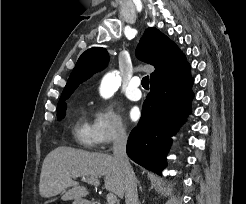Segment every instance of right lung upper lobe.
I'll list each match as a JSON object with an SVG mask.
<instances>
[{"instance_id":"1","label":"right lung upper lobe","mask_w":246,"mask_h":204,"mask_svg":"<svg viewBox=\"0 0 246 204\" xmlns=\"http://www.w3.org/2000/svg\"><path fill=\"white\" fill-rule=\"evenodd\" d=\"M136 55L156 68L150 80L188 65L184 54L175 43L154 27L146 29L136 49ZM108 60L109 56L104 48L86 50L79 57L60 98L69 97L80 83L103 69Z\"/></svg>"}]
</instances>
